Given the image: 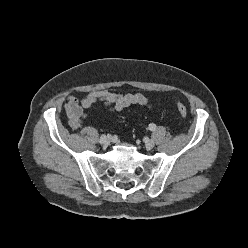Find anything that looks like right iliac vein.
Masks as SVG:
<instances>
[{"mask_svg":"<svg viewBox=\"0 0 248 248\" xmlns=\"http://www.w3.org/2000/svg\"><path fill=\"white\" fill-rule=\"evenodd\" d=\"M110 141H111V139H110V137H105V140H104V144H102L103 146H108L109 144H110Z\"/></svg>","mask_w":248,"mask_h":248,"instance_id":"63e3f726","label":"right iliac vein"}]
</instances>
